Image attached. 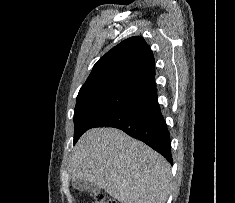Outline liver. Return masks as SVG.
<instances>
[{
  "mask_svg": "<svg viewBox=\"0 0 235 203\" xmlns=\"http://www.w3.org/2000/svg\"><path fill=\"white\" fill-rule=\"evenodd\" d=\"M72 179L96 184L121 203H165L171 166L159 153L116 128H93L79 139Z\"/></svg>",
  "mask_w": 235,
  "mask_h": 203,
  "instance_id": "obj_1",
  "label": "liver"
}]
</instances>
